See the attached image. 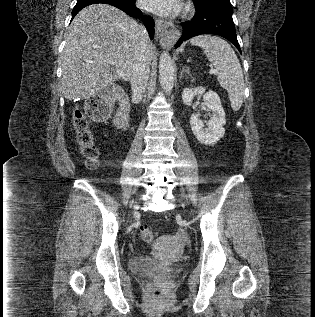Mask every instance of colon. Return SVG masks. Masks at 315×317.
<instances>
[{
    "instance_id": "colon-1",
    "label": "colon",
    "mask_w": 315,
    "mask_h": 317,
    "mask_svg": "<svg viewBox=\"0 0 315 317\" xmlns=\"http://www.w3.org/2000/svg\"><path fill=\"white\" fill-rule=\"evenodd\" d=\"M86 115L94 120H105L110 113V101L107 95L101 94L91 97L86 104ZM73 129L75 132L77 144L86 165L89 168H95L99 161V151L94 142V136L89 128L86 116L78 110H75L72 116ZM141 238L146 243L153 242L155 233L148 227H142L140 230ZM155 298H161L163 295L160 287H155L152 292Z\"/></svg>"
}]
</instances>
